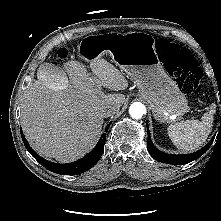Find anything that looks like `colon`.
I'll list each match as a JSON object with an SVG mask.
<instances>
[{
	"label": "colon",
	"mask_w": 221,
	"mask_h": 221,
	"mask_svg": "<svg viewBox=\"0 0 221 221\" xmlns=\"http://www.w3.org/2000/svg\"><path fill=\"white\" fill-rule=\"evenodd\" d=\"M156 49L158 53L165 56V67L175 78L182 92L187 95H197L201 90L203 74L191 52L165 39H159L156 42ZM68 54L66 48H60L57 63L66 59Z\"/></svg>",
	"instance_id": "obj_1"
}]
</instances>
